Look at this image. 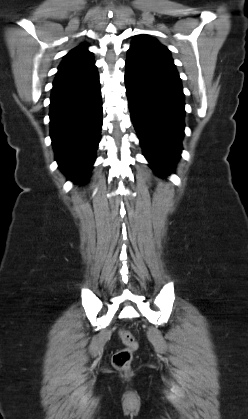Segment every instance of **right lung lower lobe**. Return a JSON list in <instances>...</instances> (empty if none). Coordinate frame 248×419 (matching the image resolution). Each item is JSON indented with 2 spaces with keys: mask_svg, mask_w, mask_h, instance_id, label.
Instances as JSON below:
<instances>
[{
  "mask_svg": "<svg viewBox=\"0 0 248 419\" xmlns=\"http://www.w3.org/2000/svg\"><path fill=\"white\" fill-rule=\"evenodd\" d=\"M50 136L59 168L75 183L86 182L100 141L102 98L92 62L57 75L50 98Z\"/></svg>",
  "mask_w": 248,
  "mask_h": 419,
  "instance_id": "98d812e1",
  "label": "right lung lower lobe"
}]
</instances>
